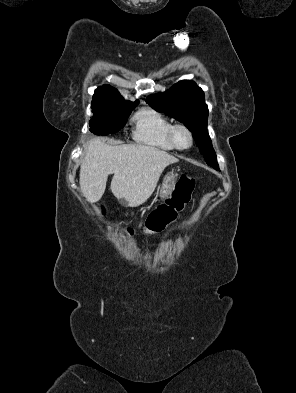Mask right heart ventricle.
I'll use <instances>...</instances> for the list:
<instances>
[{"mask_svg":"<svg viewBox=\"0 0 296 393\" xmlns=\"http://www.w3.org/2000/svg\"><path fill=\"white\" fill-rule=\"evenodd\" d=\"M133 135L138 142L163 150H174L170 140L172 121L163 113L144 108L134 117Z\"/></svg>","mask_w":296,"mask_h":393,"instance_id":"right-heart-ventricle-1","label":"right heart ventricle"}]
</instances>
